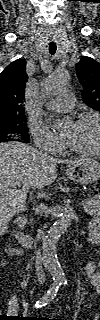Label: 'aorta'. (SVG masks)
<instances>
[{"label": "aorta", "instance_id": "1", "mask_svg": "<svg viewBox=\"0 0 100 320\" xmlns=\"http://www.w3.org/2000/svg\"><path fill=\"white\" fill-rule=\"evenodd\" d=\"M69 74L64 69L53 71L46 77L42 84V94L45 98H52L68 82ZM49 122L55 129H62L67 125V120L57 114L50 113ZM71 221V210L66 208L59 219L49 229L43 240L42 256L46 268L55 280L65 279L64 271L57 257V243L61 235L67 230Z\"/></svg>", "mask_w": 100, "mask_h": 320}]
</instances>
